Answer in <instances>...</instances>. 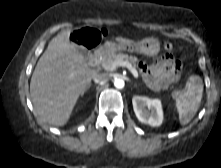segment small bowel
Returning a JSON list of instances; mask_svg holds the SVG:
<instances>
[{"label": "small bowel", "mask_w": 221, "mask_h": 168, "mask_svg": "<svg viewBox=\"0 0 221 168\" xmlns=\"http://www.w3.org/2000/svg\"><path fill=\"white\" fill-rule=\"evenodd\" d=\"M147 84L153 89H163L175 83L180 75V62L173 53H166L149 66L139 64Z\"/></svg>", "instance_id": "obj_1"}]
</instances>
